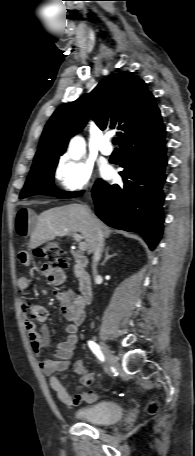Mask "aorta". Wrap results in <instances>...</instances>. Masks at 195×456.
I'll list each match as a JSON object with an SVG mask.
<instances>
[{"label": "aorta", "instance_id": "762f6f07", "mask_svg": "<svg viewBox=\"0 0 195 456\" xmlns=\"http://www.w3.org/2000/svg\"><path fill=\"white\" fill-rule=\"evenodd\" d=\"M85 150V141L82 137H74L69 144V155L74 160H79Z\"/></svg>", "mask_w": 195, "mask_h": 456}]
</instances>
